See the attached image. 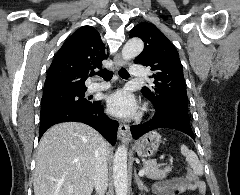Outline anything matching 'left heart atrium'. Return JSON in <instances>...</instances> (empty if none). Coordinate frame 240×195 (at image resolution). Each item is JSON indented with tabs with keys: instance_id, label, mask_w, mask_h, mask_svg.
Instances as JSON below:
<instances>
[{
	"instance_id": "left-heart-atrium-1",
	"label": "left heart atrium",
	"mask_w": 240,
	"mask_h": 195,
	"mask_svg": "<svg viewBox=\"0 0 240 195\" xmlns=\"http://www.w3.org/2000/svg\"><path fill=\"white\" fill-rule=\"evenodd\" d=\"M107 107L109 112L120 118L133 117L137 110L135 97L125 89H120L108 96Z\"/></svg>"
}]
</instances>
